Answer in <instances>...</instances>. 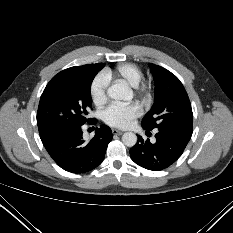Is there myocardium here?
I'll list each match as a JSON object with an SVG mask.
<instances>
[{"label":"myocardium","instance_id":"obj_1","mask_svg":"<svg viewBox=\"0 0 233 233\" xmlns=\"http://www.w3.org/2000/svg\"><path fill=\"white\" fill-rule=\"evenodd\" d=\"M138 92L144 99L148 100L150 97L149 89L145 84L137 86Z\"/></svg>","mask_w":233,"mask_h":233}]
</instances>
